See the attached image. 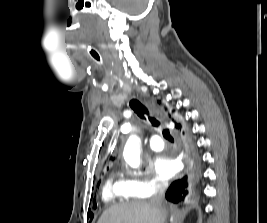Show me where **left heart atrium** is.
I'll use <instances>...</instances> for the list:
<instances>
[{
	"label": "left heart atrium",
	"instance_id": "39dd6f15",
	"mask_svg": "<svg viewBox=\"0 0 267 223\" xmlns=\"http://www.w3.org/2000/svg\"><path fill=\"white\" fill-rule=\"evenodd\" d=\"M154 169L162 180L170 179L178 171L176 161L170 156H159L154 161Z\"/></svg>",
	"mask_w": 267,
	"mask_h": 223
}]
</instances>
